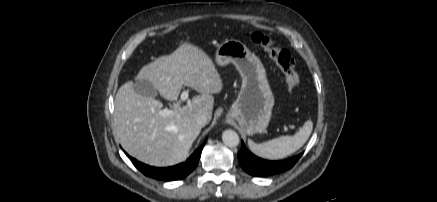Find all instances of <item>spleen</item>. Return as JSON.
<instances>
[{"mask_svg":"<svg viewBox=\"0 0 437 202\" xmlns=\"http://www.w3.org/2000/svg\"><path fill=\"white\" fill-rule=\"evenodd\" d=\"M313 130V123L308 120L293 136H281L264 143L257 144L248 140L249 149L257 156L270 160L283 159L299 150L308 140Z\"/></svg>","mask_w":437,"mask_h":202,"instance_id":"3e777b00","label":"spleen"}]
</instances>
